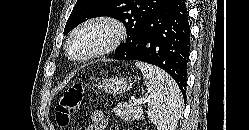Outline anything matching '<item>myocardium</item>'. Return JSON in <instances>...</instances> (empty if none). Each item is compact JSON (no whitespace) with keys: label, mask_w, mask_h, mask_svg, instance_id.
<instances>
[{"label":"myocardium","mask_w":249,"mask_h":130,"mask_svg":"<svg viewBox=\"0 0 249 130\" xmlns=\"http://www.w3.org/2000/svg\"><path fill=\"white\" fill-rule=\"evenodd\" d=\"M96 26L108 28L111 32L110 39L102 46L90 51L83 56L76 57L71 55L69 47L72 40L83 31ZM126 36L127 29L120 20L110 16H94L84 20L71 31L66 40L64 51L70 60L75 62H87L113 52L126 39Z\"/></svg>","instance_id":"obj_1"}]
</instances>
